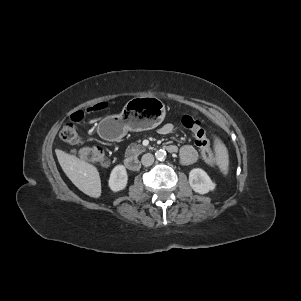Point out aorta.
Masks as SVG:
<instances>
[{
  "label": "aorta",
  "mask_w": 301,
  "mask_h": 301,
  "mask_svg": "<svg viewBox=\"0 0 301 301\" xmlns=\"http://www.w3.org/2000/svg\"><path fill=\"white\" fill-rule=\"evenodd\" d=\"M166 155H167V153H166V151L163 150V149L157 150V151L155 152V157H156V159L159 160V161L165 160Z\"/></svg>",
  "instance_id": "obj_1"
}]
</instances>
